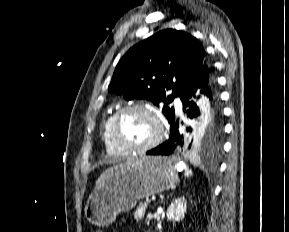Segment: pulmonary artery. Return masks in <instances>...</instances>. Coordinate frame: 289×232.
Returning a JSON list of instances; mask_svg holds the SVG:
<instances>
[{"label":"pulmonary artery","instance_id":"e3ab8cb5","mask_svg":"<svg viewBox=\"0 0 289 232\" xmlns=\"http://www.w3.org/2000/svg\"><path fill=\"white\" fill-rule=\"evenodd\" d=\"M175 106H176L178 111H181L182 103H181V100L179 98L175 99Z\"/></svg>","mask_w":289,"mask_h":232}]
</instances>
